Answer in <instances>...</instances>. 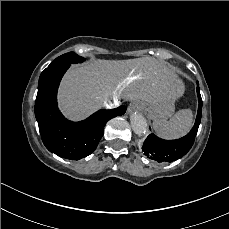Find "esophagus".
Instances as JSON below:
<instances>
[{
	"label": "esophagus",
	"instance_id": "obj_1",
	"mask_svg": "<svg viewBox=\"0 0 229 229\" xmlns=\"http://www.w3.org/2000/svg\"><path fill=\"white\" fill-rule=\"evenodd\" d=\"M137 110V107L134 103L129 104L128 106V114H133Z\"/></svg>",
	"mask_w": 229,
	"mask_h": 229
}]
</instances>
